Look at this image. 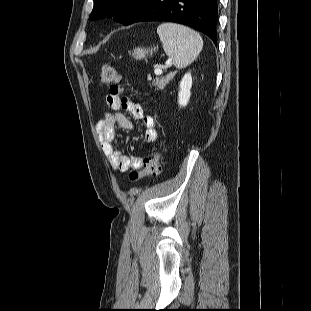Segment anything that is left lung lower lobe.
<instances>
[{"instance_id": "0a47b994", "label": "left lung lower lobe", "mask_w": 311, "mask_h": 311, "mask_svg": "<svg viewBox=\"0 0 311 311\" xmlns=\"http://www.w3.org/2000/svg\"><path fill=\"white\" fill-rule=\"evenodd\" d=\"M217 0H139L121 23L169 21L206 34L216 44Z\"/></svg>"}]
</instances>
